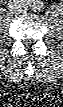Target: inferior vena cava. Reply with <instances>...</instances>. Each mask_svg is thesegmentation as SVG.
I'll use <instances>...</instances> for the list:
<instances>
[{
	"label": "inferior vena cava",
	"instance_id": "1",
	"mask_svg": "<svg viewBox=\"0 0 63 107\" xmlns=\"http://www.w3.org/2000/svg\"><path fill=\"white\" fill-rule=\"evenodd\" d=\"M13 10L17 13H23L26 12V7L21 5L20 3L16 4Z\"/></svg>",
	"mask_w": 63,
	"mask_h": 107
}]
</instances>
